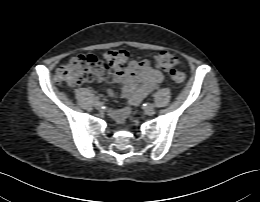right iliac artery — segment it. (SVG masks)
I'll list each match as a JSON object with an SVG mask.
<instances>
[{"label": "right iliac artery", "mask_w": 260, "mask_h": 202, "mask_svg": "<svg viewBox=\"0 0 260 202\" xmlns=\"http://www.w3.org/2000/svg\"><path fill=\"white\" fill-rule=\"evenodd\" d=\"M100 99H101V98H100V97H98V96H97V97H95V100H96V101H99Z\"/></svg>", "instance_id": "obj_1"}]
</instances>
